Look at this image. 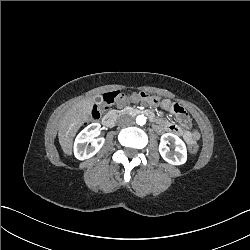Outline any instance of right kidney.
I'll return each instance as SVG.
<instances>
[{"label":"right kidney","mask_w":250,"mask_h":250,"mask_svg":"<svg viewBox=\"0 0 250 250\" xmlns=\"http://www.w3.org/2000/svg\"><path fill=\"white\" fill-rule=\"evenodd\" d=\"M100 127V123H91L76 136L73 145V153L77 159L84 160L90 158L103 146V138L93 139V136L97 135L100 131ZM89 143H92L90 147H88Z\"/></svg>","instance_id":"ca27d5eb"}]
</instances>
